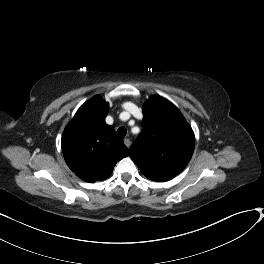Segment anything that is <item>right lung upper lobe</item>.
Here are the masks:
<instances>
[{"label":"right lung upper lobe","instance_id":"right-lung-upper-lobe-1","mask_svg":"<svg viewBox=\"0 0 264 264\" xmlns=\"http://www.w3.org/2000/svg\"><path fill=\"white\" fill-rule=\"evenodd\" d=\"M108 110L109 103L94 96L78 109L62 136L68 167L86 182L108 177L116 163L129 155L123 141L105 123Z\"/></svg>","mask_w":264,"mask_h":264}]
</instances>
